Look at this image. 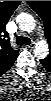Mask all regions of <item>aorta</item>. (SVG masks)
Listing matches in <instances>:
<instances>
[{
    "mask_svg": "<svg viewBox=\"0 0 51 101\" xmlns=\"http://www.w3.org/2000/svg\"><path fill=\"white\" fill-rule=\"evenodd\" d=\"M16 22L22 31L31 32L35 29L36 23L33 16L27 13H21L17 16ZM34 55L43 59L48 55V45L45 41L38 42L34 48Z\"/></svg>",
    "mask_w": 51,
    "mask_h": 101,
    "instance_id": "1",
    "label": "aorta"
}]
</instances>
